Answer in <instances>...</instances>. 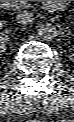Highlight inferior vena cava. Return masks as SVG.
<instances>
[{
  "label": "inferior vena cava",
  "mask_w": 74,
  "mask_h": 122,
  "mask_svg": "<svg viewBox=\"0 0 74 122\" xmlns=\"http://www.w3.org/2000/svg\"><path fill=\"white\" fill-rule=\"evenodd\" d=\"M17 22L22 25H30L34 22L33 14L28 11H23L18 14Z\"/></svg>",
  "instance_id": "1"
}]
</instances>
